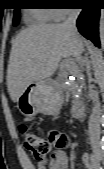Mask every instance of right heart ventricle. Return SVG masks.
I'll list each match as a JSON object with an SVG mask.
<instances>
[{
  "label": "right heart ventricle",
  "instance_id": "obj_1",
  "mask_svg": "<svg viewBox=\"0 0 104 169\" xmlns=\"http://www.w3.org/2000/svg\"><path fill=\"white\" fill-rule=\"evenodd\" d=\"M31 17L38 23H49L55 20V12L51 8H37L30 12Z\"/></svg>",
  "mask_w": 104,
  "mask_h": 169
}]
</instances>
